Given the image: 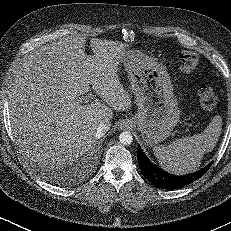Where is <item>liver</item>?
I'll list each match as a JSON object with an SVG mask.
<instances>
[{"label":"liver","mask_w":231,"mask_h":231,"mask_svg":"<svg viewBox=\"0 0 231 231\" xmlns=\"http://www.w3.org/2000/svg\"><path fill=\"white\" fill-rule=\"evenodd\" d=\"M86 38L67 36L28 54L14 74L9 91L14 139L30 162L63 167L96 142L97 127L110 123L113 110L131 108V96L118 76L128 44L92 38L94 56L85 53ZM93 90L107 103H78Z\"/></svg>","instance_id":"1"}]
</instances>
